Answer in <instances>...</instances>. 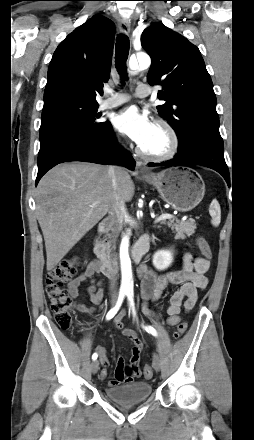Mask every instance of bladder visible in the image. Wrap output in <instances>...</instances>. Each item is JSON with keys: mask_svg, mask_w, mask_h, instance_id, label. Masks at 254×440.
<instances>
[{"mask_svg": "<svg viewBox=\"0 0 254 440\" xmlns=\"http://www.w3.org/2000/svg\"><path fill=\"white\" fill-rule=\"evenodd\" d=\"M149 382H133L114 387H107L105 393L111 400L121 404L140 403L152 395Z\"/></svg>", "mask_w": 254, "mask_h": 440, "instance_id": "31cf9c89", "label": "bladder"}]
</instances>
